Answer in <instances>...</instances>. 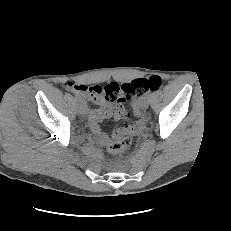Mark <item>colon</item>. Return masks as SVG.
Listing matches in <instances>:
<instances>
[{
  "instance_id": "1",
  "label": "colon",
  "mask_w": 231,
  "mask_h": 231,
  "mask_svg": "<svg viewBox=\"0 0 231 231\" xmlns=\"http://www.w3.org/2000/svg\"><path fill=\"white\" fill-rule=\"evenodd\" d=\"M163 85V80L157 75L149 78H138L122 85H112L109 87V95L116 100L120 97L129 100L135 96L142 95L148 90L158 91ZM132 144V136L125 134L116 139L107 146V150L111 154H119L128 149Z\"/></svg>"
}]
</instances>
